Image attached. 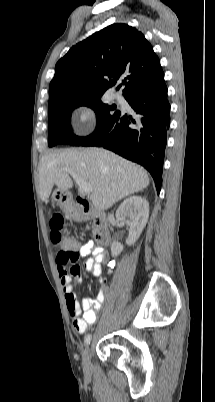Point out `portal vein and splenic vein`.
<instances>
[{
    "mask_svg": "<svg viewBox=\"0 0 215 402\" xmlns=\"http://www.w3.org/2000/svg\"><path fill=\"white\" fill-rule=\"evenodd\" d=\"M63 171L70 174L73 177L74 181L76 182V184L79 186L80 190L84 194H90L92 192V190H93L92 185L89 184L88 182L84 181L82 178H80L71 169L63 168Z\"/></svg>",
    "mask_w": 215,
    "mask_h": 402,
    "instance_id": "18ae733b",
    "label": "portal vein and splenic vein"
}]
</instances>
